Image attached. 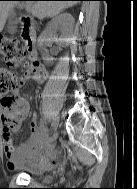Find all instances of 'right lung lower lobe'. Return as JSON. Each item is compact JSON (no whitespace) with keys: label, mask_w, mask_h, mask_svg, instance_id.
I'll list each match as a JSON object with an SVG mask.
<instances>
[{"label":"right lung lower lobe","mask_w":137,"mask_h":189,"mask_svg":"<svg viewBox=\"0 0 137 189\" xmlns=\"http://www.w3.org/2000/svg\"><path fill=\"white\" fill-rule=\"evenodd\" d=\"M72 1H84V0H72Z\"/></svg>","instance_id":"1"}]
</instances>
